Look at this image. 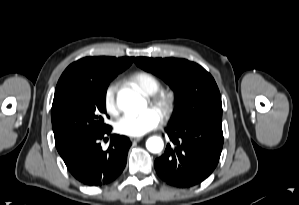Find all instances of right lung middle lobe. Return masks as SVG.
<instances>
[{"instance_id": "obj_1", "label": "right lung middle lobe", "mask_w": 299, "mask_h": 205, "mask_svg": "<svg viewBox=\"0 0 299 205\" xmlns=\"http://www.w3.org/2000/svg\"><path fill=\"white\" fill-rule=\"evenodd\" d=\"M115 76L70 81L52 106V127L57 150L71 141L102 132L105 96Z\"/></svg>"}]
</instances>
